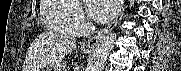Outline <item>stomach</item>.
Listing matches in <instances>:
<instances>
[{
  "label": "stomach",
  "instance_id": "stomach-1",
  "mask_svg": "<svg viewBox=\"0 0 181 71\" xmlns=\"http://www.w3.org/2000/svg\"><path fill=\"white\" fill-rule=\"evenodd\" d=\"M45 71H66L65 67L61 64H54L46 68Z\"/></svg>",
  "mask_w": 181,
  "mask_h": 71
}]
</instances>
